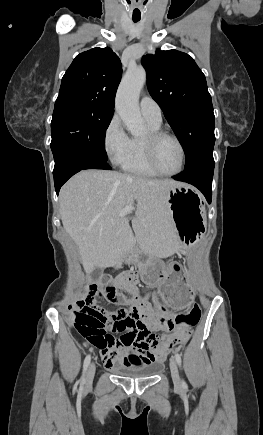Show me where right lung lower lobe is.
<instances>
[{"label": "right lung lower lobe", "mask_w": 263, "mask_h": 435, "mask_svg": "<svg viewBox=\"0 0 263 435\" xmlns=\"http://www.w3.org/2000/svg\"><path fill=\"white\" fill-rule=\"evenodd\" d=\"M85 169H106L111 167L104 160L86 155L71 154L65 156L58 164H55L53 176L55 190L58 195L61 186L74 174Z\"/></svg>", "instance_id": "obj_1"}]
</instances>
